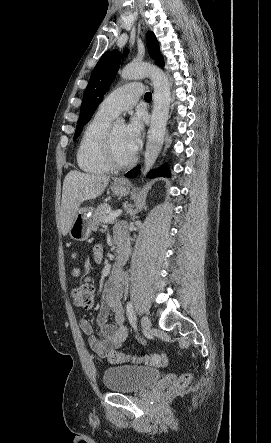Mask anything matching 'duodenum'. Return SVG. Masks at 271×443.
Segmentation results:
<instances>
[{"label":"duodenum","mask_w":271,"mask_h":443,"mask_svg":"<svg viewBox=\"0 0 271 443\" xmlns=\"http://www.w3.org/2000/svg\"><path fill=\"white\" fill-rule=\"evenodd\" d=\"M124 255L122 254L121 258L123 259Z\"/></svg>","instance_id":"410a0bca"}]
</instances>
